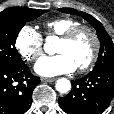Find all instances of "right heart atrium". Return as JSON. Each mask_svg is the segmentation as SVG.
I'll use <instances>...</instances> for the list:
<instances>
[{"mask_svg": "<svg viewBox=\"0 0 114 114\" xmlns=\"http://www.w3.org/2000/svg\"><path fill=\"white\" fill-rule=\"evenodd\" d=\"M15 48L25 61H35L43 53V38L33 27L23 26L16 35Z\"/></svg>", "mask_w": 114, "mask_h": 114, "instance_id": "right-heart-atrium-1", "label": "right heart atrium"}]
</instances>
